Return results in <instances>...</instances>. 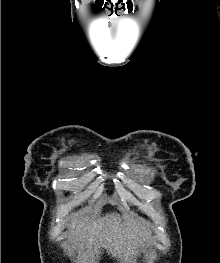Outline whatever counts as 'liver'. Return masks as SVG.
Here are the masks:
<instances>
[{
  "label": "liver",
  "mask_w": 220,
  "mask_h": 263,
  "mask_svg": "<svg viewBox=\"0 0 220 263\" xmlns=\"http://www.w3.org/2000/svg\"><path fill=\"white\" fill-rule=\"evenodd\" d=\"M67 227L69 237L78 250L82 253L88 249L83 254V263H93L102 249H106L113 257L124 256L126 260L133 257L136 248L150 237V230L145 223L130 216H125L122 222L116 213L97 219L77 213L70 218Z\"/></svg>",
  "instance_id": "1"
}]
</instances>
